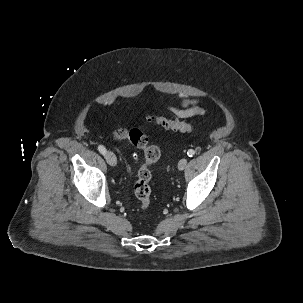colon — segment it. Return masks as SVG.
Masks as SVG:
<instances>
[{
    "instance_id": "5ec220e1",
    "label": "colon",
    "mask_w": 303,
    "mask_h": 303,
    "mask_svg": "<svg viewBox=\"0 0 303 303\" xmlns=\"http://www.w3.org/2000/svg\"><path fill=\"white\" fill-rule=\"evenodd\" d=\"M146 119L154 122L157 125L172 131H180L185 133L193 132L192 124L180 121L178 119H169L155 114H147ZM113 138L122 141H129L134 147L139 148L144 153V164L140 167L137 173V179L133 186V191L140 202V209L146 211L150 206L151 189L149 182L151 179L150 167L156 163L161 157V151L158 146L150 145L147 136L139 129L130 131L118 128L113 131Z\"/></svg>"
}]
</instances>
